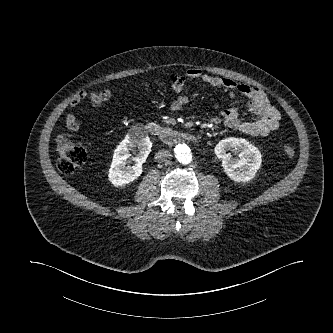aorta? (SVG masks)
<instances>
[{
    "instance_id": "aorta-1",
    "label": "aorta",
    "mask_w": 333,
    "mask_h": 333,
    "mask_svg": "<svg viewBox=\"0 0 333 333\" xmlns=\"http://www.w3.org/2000/svg\"><path fill=\"white\" fill-rule=\"evenodd\" d=\"M175 157L182 164H189L192 160L190 148L186 144H179L175 147Z\"/></svg>"
}]
</instances>
